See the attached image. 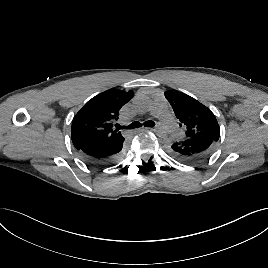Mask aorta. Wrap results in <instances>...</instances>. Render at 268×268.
Here are the masks:
<instances>
[{"instance_id": "762f6f07", "label": "aorta", "mask_w": 268, "mask_h": 268, "mask_svg": "<svg viewBox=\"0 0 268 268\" xmlns=\"http://www.w3.org/2000/svg\"><path fill=\"white\" fill-rule=\"evenodd\" d=\"M136 103H137L138 108L144 111L150 110L153 105L151 98L148 96H140L137 99ZM155 137L158 140H165L168 137V128L165 125H158L155 128Z\"/></svg>"}]
</instances>
